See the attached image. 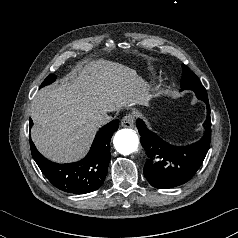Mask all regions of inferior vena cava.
I'll use <instances>...</instances> for the list:
<instances>
[{"label":"inferior vena cava","instance_id":"obj_1","mask_svg":"<svg viewBox=\"0 0 238 238\" xmlns=\"http://www.w3.org/2000/svg\"><path fill=\"white\" fill-rule=\"evenodd\" d=\"M111 119V117L107 114H104V115H100L96 118V122L99 124V125H102V124H105L106 122H108L109 120Z\"/></svg>","mask_w":238,"mask_h":238}]
</instances>
